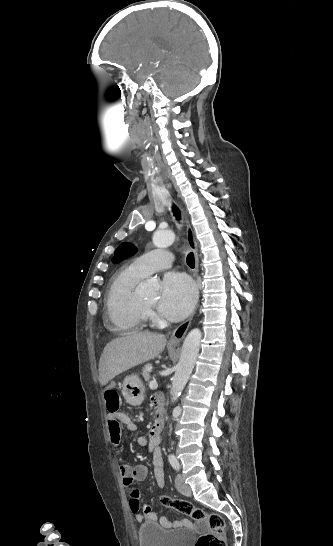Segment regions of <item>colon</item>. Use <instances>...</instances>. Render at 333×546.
Masks as SVG:
<instances>
[{
	"label": "colon",
	"instance_id": "1",
	"mask_svg": "<svg viewBox=\"0 0 333 546\" xmlns=\"http://www.w3.org/2000/svg\"><path fill=\"white\" fill-rule=\"evenodd\" d=\"M105 402L108 411L117 412L120 407V396L117 391L105 393ZM117 438L120 431H117ZM162 504L181 514L192 517L197 521L207 523L208 530L205 534L198 537L195 546H226L225 522L221 515L217 513H207L203 509L194 506L189 501L183 499H171L167 496L161 498Z\"/></svg>",
	"mask_w": 333,
	"mask_h": 546
}]
</instances>
